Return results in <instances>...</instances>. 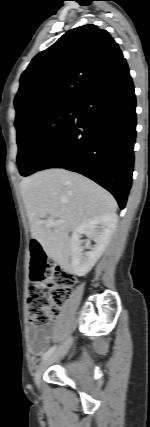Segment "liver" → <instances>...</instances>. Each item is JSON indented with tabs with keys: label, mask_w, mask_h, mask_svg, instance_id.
Wrapping results in <instances>:
<instances>
[{
	"label": "liver",
	"mask_w": 150,
	"mask_h": 427,
	"mask_svg": "<svg viewBox=\"0 0 150 427\" xmlns=\"http://www.w3.org/2000/svg\"><path fill=\"white\" fill-rule=\"evenodd\" d=\"M32 238L63 266L70 256L69 233L81 223L115 213L117 202L92 180L62 168L37 172L20 183ZM64 221L53 227L44 221Z\"/></svg>",
	"instance_id": "6515ba94"
}]
</instances>
